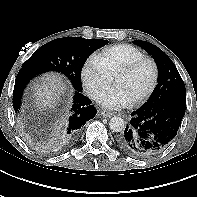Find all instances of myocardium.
<instances>
[{"instance_id":"1","label":"myocardium","mask_w":197,"mask_h":197,"mask_svg":"<svg viewBox=\"0 0 197 197\" xmlns=\"http://www.w3.org/2000/svg\"><path fill=\"white\" fill-rule=\"evenodd\" d=\"M145 63L150 64V66L152 67V71H153L152 80H151V83H150L149 87L147 88V90L142 95H140L138 98L131 101L132 105H138V104L144 102L154 92V90L157 86L158 77H159V70H158V66H157L156 62L151 58L143 57L138 60H135L134 62H132L129 65L125 66L124 68L120 69L117 72V74L115 75V78L119 77V76H129V75L133 74L141 65H143Z\"/></svg>"}]
</instances>
